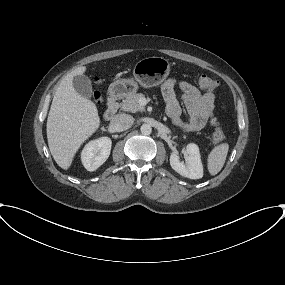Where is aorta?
<instances>
[{"label":"aorta","instance_id":"aorta-1","mask_svg":"<svg viewBox=\"0 0 285 285\" xmlns=\"http://www.w3.org/2000/svg\"><path fill=\"white\" fill-rule=\"evenodd\" d=\"M140 130L143 135H150L152 132V128L149 124H143Z\"/></svg>","mask_w":285,"mask_h":285}]
</instances>
